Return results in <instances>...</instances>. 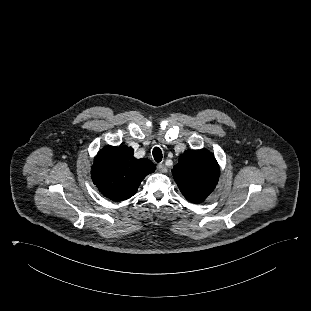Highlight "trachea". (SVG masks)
Here are the masks:
<instances>
[{"mask_svg":"<svg viewBox=\"0 0 311 311\" xmlns=\"http://www.w3.org/2000/svg\"><path fill=\"white\" fill-rule=\"evenodd\" d=\"M154 160L160 162L162 160V151L159 147H155L152 151Z\"/></svg>","mask_w":311,"mask_h":311,"instance_id":"3493384b","label":"trachea"}]
</instances>
